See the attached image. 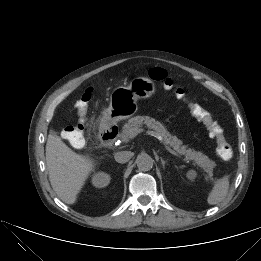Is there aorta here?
<instances>
[{"mask_svg": "<svg viewBox=\"0 0 261 261\" xmlns=\"http://www.w3.org/2000/svg\"><path fill=\"white\" fill-rule=\"evenodd\" d=\"M154 160L148 154H140L136 158V164L139 170L149 171L153 167Z\"/></svg>", "mask_w": 261, "mask_h": 261, "instance_id": "1", "label": "aorta"}]
</instances>
